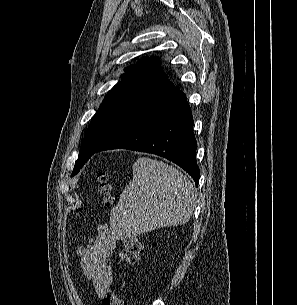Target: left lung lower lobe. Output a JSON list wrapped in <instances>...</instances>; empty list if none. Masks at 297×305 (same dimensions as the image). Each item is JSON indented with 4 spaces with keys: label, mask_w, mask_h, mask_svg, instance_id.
I'll list each match as a JSON object with an SVG mask.
<instances>
[{
    "label": "left lung lower lobe",
    "mask_w": 297,
    "mask_h": 305,
    "mask_svg": "<svg viewBox=\"0 0 297 305\" xmlns=\"http://www.w3.org/2000/svg\"><path fill=\"white\" fill-rule=\"evenodd\" d=\"M119 148L162 156L184 169L198 185L192 113L185 94L167 79L153 82L137 95L95 153Z\"/></svg>",
    "instance_id": "1"
}]
</instances>
